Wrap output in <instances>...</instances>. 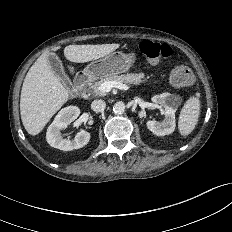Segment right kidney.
Listing matches in <instances>:
<instances>
[{
  "instance_id": "right-kidney-1",
  "label": "right kidney",
  "mask_w": 232,
  "mask_h": 232,
  "mask_svg": "<svg viewBox=\"0 0 232 232\" xmlns=\"http://www.w3.org/2000/svg\"><path fill=\"white\" fill-rule=\"evenodd\" d=\"M79 114L80 109L76 106H68L61 109L47 130L46 140L50 146L63 151H71L88 144L90 133L85 130L78 132L74 140L63 139L61 136V130L67 128L72 121L77 119Z\"/></svg>"
}]
</instances>
